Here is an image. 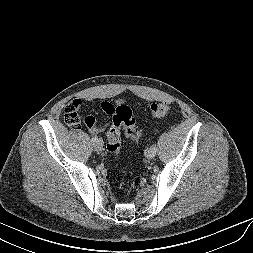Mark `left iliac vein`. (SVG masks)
Wrapping results in <instances>:
<instances>
[{
  "label": "left iliac vein",
  "mask_w": 253,
  "mask_h": 253,
  "mask_svg": "<svg viewBox=\"0 0 253 253\" xmlns=\"http://www.w3.org/2000/svg\"><path fill=\"white\" fill-rule=\"evenodd\" d=\"M156 155V152L153 151L152 149H148L146 150L145 152V156L148 158V159H153Z\"/></svg>",
  "instance_id": "left-iliac-vein-1"
}]
</instances>
